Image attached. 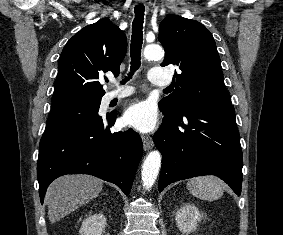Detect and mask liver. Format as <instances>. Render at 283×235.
<instances>
[{"instance_id": "liver-1", "label": "liver", "mask_w": 283, "mask_h": 235, "mask_svg": "<svg viewBox=\"0 0 283 235\" xmlns=\"http://www.w3.org/2000/svg\"><path fill=\"white\" fill-rule=\"evenodd\" d=\"M103 181L88 175H65L54 180L46 192L48 218L53 224L96 198Z\"/></svg>"}]
</instances>
